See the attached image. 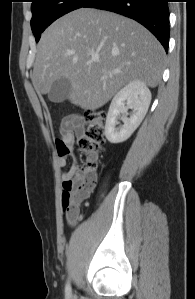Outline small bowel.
<instances>
[{
	"label": "small bowel",
	"instance_id": "1",
	"mask_svg": "<svg viewBox=\"0 0 195 299\" xmlns=\"http://www.w3.org/2000/svg\"><path fill=\"white\" fill-rule=\"evenodd\" d=\"M84 130L85 120L81 116L74 115L67 117L61 123V139L57 143V164L59 167H64L67 163V159H72L71 167L61 176L64 191L68 189L67 183L71 182L76 174L77 161L73 153V145L75 141L83 135ZM65 216L70 225H76L82 219L81 213L76 217Z\"/></svg>",
	"mask_w": 195,
	"mask_h": 299
}]
</instances>
